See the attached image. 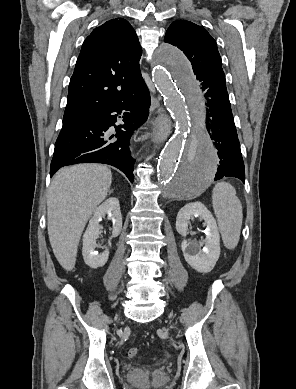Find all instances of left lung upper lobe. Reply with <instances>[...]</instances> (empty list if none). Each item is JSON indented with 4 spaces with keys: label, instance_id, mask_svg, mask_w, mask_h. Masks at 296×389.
<instances>
[{
    "label": "left lung upper lobe",
    "instance_id": "obj_1",
    "mask_svg": "<svg viewBox=\"0 0 296 389\" xmlns=\"http://www.w3.org/2000/svg\"><path fill=\"white\" fill-rule=\"evenodd\" d=\"M164 41L183 51L198 80L205 75L218 77L224 74L217 44L203 27L177 20L168 28Z\"/></svg>",
    "mask_w": 296,
    "mask_h": 389
}]
</instances>
